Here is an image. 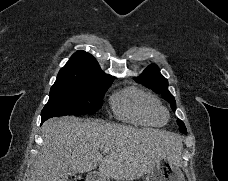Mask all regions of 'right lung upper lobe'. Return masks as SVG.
Here are the masks:
<instances>
[{
    "instance_id": "right-lung-upper-lobe-1",
    "label": "right lung upper lobe",
    "mask_w": 228,
    "mask_h": 181,
    "mask_svg": "<svg viewBox=\"0 0 228 181\" xmlns=\"http://www.w3.org/2000/svg\"><path fill=\"white\" fill-rule=\"evenodd\" d=\"M114 77L100 71L95 58L85 52H76L59 71L55 83L82 84L97 81H113Z\"/></svg>"
}]
</instances>
